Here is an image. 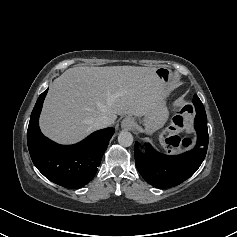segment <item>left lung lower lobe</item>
<instances>
[{"instance_id":"left-lung-lower-lobe-1","label":"left lung lower lobe","mask_w":237,"mask_h":237,"mask_svg":"<svg viewBox=\"0 0 237 237\" xmlns=\"http://www.w3.org/2000/svg\"><path fill=\"white\" fill-rule=\"evenodd\" d=\"M194 127L197 132L196 146L185 153L168 156L155 151L146 144L143 154L135 144V164L142 177L152 186L169 188L191 177L203 162L208 147L207 117L196 115Z\"/></svg>"}]
</instances>
